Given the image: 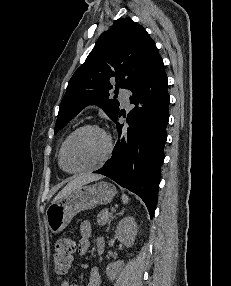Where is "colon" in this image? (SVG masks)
Returning a JSON list of instances; mask_svg holds the SVG:
<instances>
[{"mask_svg": "<svg viewBox=\"0 0 231 286\" xmlns=\"http://www.w3.org/2000/svg\"><path fill=\"white\" fill-rule=\"evenodd\" d=\"M75 250L76 244L72 238L63 236L57 240L54 253V270L57 275L63 276L69 272Z\"/></svg>", "mask_w": 231, "mask_h": 286, "instance_id": "colon-1", "label": "colon"}]
</instances>
